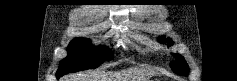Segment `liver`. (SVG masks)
<instances>
[{
  "label": "liver",
  "instance_id": "6515ba94",
  "mask_svg": "<svg viewBox=\"0 0 237 81\" xmlns=\"http://www.w3.org/2000/svg\"><path fill=\"white\" fill-rule=\"evenodd\" d=\"M137 71V75H140V71L144 70H135ZM153 72L149 71L147 72V75H151ZM120 73H112V72H88V73H79V74H73L68 77H66L65 81H122L120 77ZM142 75V74H141ZM138 79H146L141 76V78ZM143 81V80H139Z\"/></svg>",
  "mask_w": 237,
  "mask_h": 81
}]
</instances>
